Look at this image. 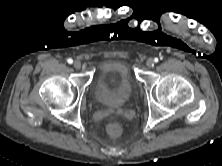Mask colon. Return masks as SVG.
<instances>
[{
	"label": "colon",
	"instance_id": "1",
	"mask_svg": "<svg viewBox=\"0 0 222 166\" xmlns=\"http://www.w3.org/2000/svg\"><path fill=\"white\" fill-rule=\"evenodd\" d=\"M123 131L122 125L119 122H111L108 126H107V132L110 136L112 137H118L121 135Z\"/></svg>",
	"mask_w": 222,
	"mask_h": 166
}]
</instances>
